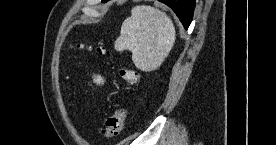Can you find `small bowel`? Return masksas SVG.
Returning a JSON list of instances; mask_svg holds the SVG:
<instances>
[{
  "instance_id": "small-bowel-1",
  "label": "small bowel",
  "mask_w": 276,
  "mask_h": 145,
  "mask_svg": "<svg viewBox=\"0 0 276 145\" xmlns=\"http://www.w3.org/2000/svg\"><path fill=\"white\" fill-rule=\"evenodd\" d=\"M94 79L99 84L103 83V79L100 76H98V75L94 76Z\"/></svg>"
}]
</instances>
